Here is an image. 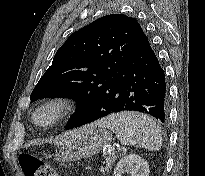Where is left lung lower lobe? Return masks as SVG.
<instances>
[{"label":"left lung lower lobe","instance_id":"1","mask_svg":"<svg viewBox=\"0 0 205 176\" xmlns=\"http://www.w3.org/2000/svg\"><path fill=\"white\" fill-rule=\"evenodd\" d=\"M120 111L167 118L165 74L145 36L74 127Z\"/></svg>","mask_w":205,"mask_h":176}]
</instances>
